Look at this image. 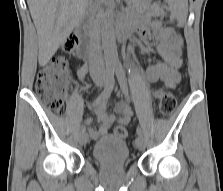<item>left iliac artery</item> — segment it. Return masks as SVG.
<instances>
[{
  "label": "left iliac artery",
  "instance_id": "1",
  "mask_svg": "<svg viewBox=\"0 0 223 191\" xmlns=\"http://www.w3.org/2000/svg\"><path fill=\"white\" fill-rule=\"evenodd\" d=\"M114 70L116 72V76H117L118 82L120 84V87L122 88L123 92H126L127 91V82H126V78H125V75H124L122 65L120 63L116 64L114 66ZM136 133L139 136L143 135V131H142L140 126L137 127Z\"/></svg>",
  "mask_w": 223,
  "mask_h": 191
}]
</instances>
